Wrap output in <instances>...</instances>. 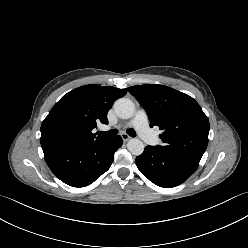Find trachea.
Returning <instances> with one entry per match:
<instances>
[{"mask_svg":"<svg viewBox=\"0 0 248 248\" xmlns=\"http://www.w3.org/2000/svg\"><path fill=\"white\" fill-rule=\"evenodd\" d=\"M100 134L103 136H115L118 134V131L116 129H111L106 132H100ZM127 134L130 135L131 137H136V132L133 129L127 130Z\"/></svg>","mask_w":248,"mask_h":248,"instance_id":"3493384b","label":"trachea"}]
</instances>
